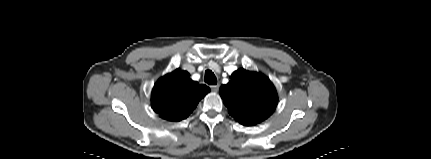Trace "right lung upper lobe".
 <instances>
[{
  "label": "right lung upper lobe",
  "instance_id": "cb5924a9",
  "mask_svg": "<svg viewBox=\"0 0 431 159\" xmlns=\"http://www.w3.org/2000/svg\"><path fill=\"white\" fill-rule=\"evenodd\" d=\"M209 91L207 86L192 81L187 72L176 69L154 85L152 108L163 119L180 121L189 116Z\"/></svg>",
  "mask_w": 431,
  "mask_h": 159
}]
</instances>
